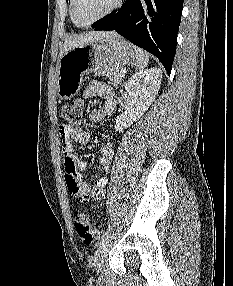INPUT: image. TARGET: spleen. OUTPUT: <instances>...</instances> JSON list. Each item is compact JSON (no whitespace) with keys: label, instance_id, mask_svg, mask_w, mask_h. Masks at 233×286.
Listing matches in <instances>:
<instances>
[{"label":"spleen","instance_id":"obj_1","mask_svg":"<svg viewBox=\"0 0 233 286\" xmlns=\"http://www.w3.org/2000/svg\"><path fill=\"white\" fill-rule=\"evenodd\" d=\"M133 48L136 55V68L142 71L148 65L149 55L146 51L137 46H133Z\"/></svg>","mask_w":233,"mask_h":286}]
</instances>
